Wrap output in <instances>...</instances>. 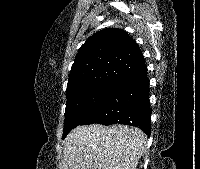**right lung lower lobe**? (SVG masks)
Segmentation results:
<instances>
[{"label":"right lung lower lobe","mask_w":200,"mask_h":169,"mask_svg":"<svg viewBox=\"0 0 200 169\" xmlns=\"http://www.w3.org/2000/svg\"><path fill=\"white\" fill-rule=\"evenodd\" d=\"M125 124L151 133V108L147 71L120 80L107 99L80 125Z\"/></svg>","instance_id":"1"}]
</instances>
